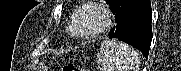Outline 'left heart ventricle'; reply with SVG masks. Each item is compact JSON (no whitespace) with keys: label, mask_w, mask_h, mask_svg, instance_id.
<instances>
[{"label":"left heart ventricle","mask_w":181,"mask_h":71,"mask_svg":"<svg viewBox=\"0 0 181 71\" xmlns=\"http://www.w3.org/2000/svg\"><path fill=\"white\" fill-rule=\"evenodd\" d=\"M102 21V17L97 11L87 9L80 17L79 30L84 33L91 32L97 29L102 24Z\"/></svg>","instance_id":"obj_1"}]
</instances>
